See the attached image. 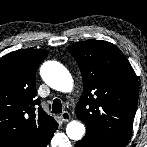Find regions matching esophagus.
I'll return each mask as SVG.
<instances>
[{"label": "esophagus", "instance_id": "34e87169", "mask_svg": "<svg viewBox=\"0 0 147 147\" xmlns=\"http://www.w3.org/2000/svg\"><path fill=\"white\" fill-rule=\"evenodd\" d=\"M60 117H61L62 121H65V122H67V121H69V120L71 119V115H70V113L67 112V111H64V112L60 115Z\"/></svg>", "mask_w": 147, "mask_h": 147}]
</instances>
